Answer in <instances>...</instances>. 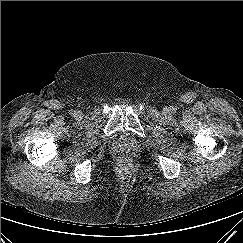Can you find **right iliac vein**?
<instances>
[{
	"mask_svg": "<svg viewBox=\"0 0 243 243\" xmlns=\"http://www.w3.org/2000/svg\"><path fill=\"white\" fill-rule=\"evenodd\" d=\"M77 118H80L83 116V113L81 111H77L76 112V115H75Z\"/></svg>",
	"mask_w": 243,
	"mask_h": 243,
	"instance_id": "63e3f726",
	"label": "right iliac vein"
}]
</instances>
